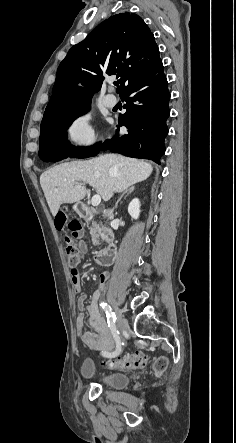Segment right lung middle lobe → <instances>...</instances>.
I'll use <instances>...</instances> for the list:
<instances>
[{"mask_svg":"<svg viewBox=\"0 0 236 443\" xmlns=\"http://www.w3.org/2000/svg\"><path fill=\"white\" fill-rule=\"evenodd\" d=\"M90 109V104L42 120L39 149L55 145H71L66 130L80 115Z\"/></svg>","mask_w":236,"mask_h":443,"instance_id":"right-lung-middle-lobe-1","label":"right lung middle lobe"}]
</instances>
